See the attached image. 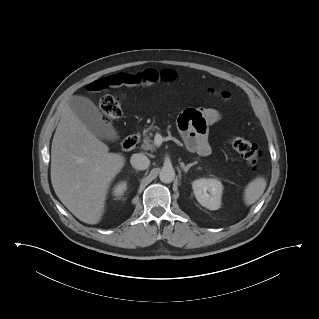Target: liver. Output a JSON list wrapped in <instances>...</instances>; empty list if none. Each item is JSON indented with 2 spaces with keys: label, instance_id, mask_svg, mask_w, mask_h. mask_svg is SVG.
Instances as JSON below:
<instances>
[{
  "label": "liver",
  "instance_id": "6515ba94",
  "mask_svg": "<svg viewBox=\"0 0 319 319\" xmlns=\"http://www.w3.org/2000/svg\"><path fill=\"white\" fill-rule=\"evenodd\" d=\"M124 165V156L110 153L66 103L51 146V182L63 205L80 221L97 224Z\"/></svg>",
  "mask_w": 319,
  "mask_h": 319
}]
</instances>
